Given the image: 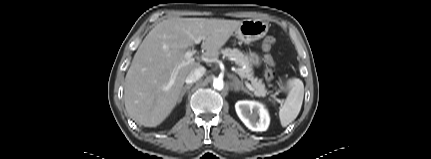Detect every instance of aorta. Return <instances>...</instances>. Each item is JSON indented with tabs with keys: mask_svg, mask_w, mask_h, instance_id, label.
I'll return each mask as SVG.
<instances>
[{
	"mask_svg": "<svg viewBox=\"0 0 431 159\" xmlns=\"http://www.w3.org/2000/svg\"><path fill=\"white\" fill-rule=\"evenodd\" d=\"M213 87L217 90H222L224 88V82L220 78H215L213 80Z\"/></svg>",
	"mask_w": 431,
	"mask_h": 159,
	"instance_id": "762f6f07",
	"label": "aorta"
}]
</instances>
